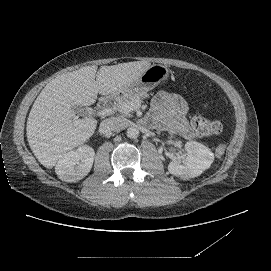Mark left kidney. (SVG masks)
Segmentation results:
<instances>
[{"instance_id":"1","label":"left kidney","mask_w":271,"mask_h":271,"mask_svg":"<svg viewBox=\"0 0 271 271\" xmlns=\"http://www.w3.org/2000/svg\"><path fill=\"white\" fill-rule=\"evenodd\" d=\"M187 156L183 159V164L178 159H174L168 165L171 174L182 179H190L202 174L214 161V154L209 148L201 143L189 141L185 144Z\"/></svg>"}]
</instances>
